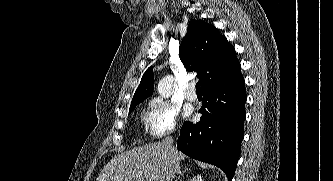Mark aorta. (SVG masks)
Returning <instances> with one entry per match:
<instances>
[{"label": "aorta", "mask_w": 333, "mask_h": 181, "mask_svg": "<svg viewBox=\"0 0 333 181\" xmlns=\"http://www.w3.org/2000/svg\"><path fill=\"white\" fill-rule=\"evenodd\" d=\"M173 80L171 75H167L159 81L157 90L162 97L168 98L172 95Z\"/></svg>", "instance_id": "1"}]
</instances>
